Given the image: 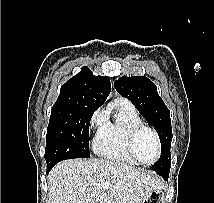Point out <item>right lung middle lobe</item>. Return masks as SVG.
Returning a JSON list of instances; mask_svg holds the SVG:
<instances>
[{"instance_id":"right-lung-middle-lobe-1","label":"right lung middle lobe","mask_w":214,"mask_h":203,"mask_svg":"<svg viewBox=\"0 0 214 203\" xmlns=\"http://www.w3.org/2000/svg\"><path fill=\"white\" fill-rule=\"evenodd\" d=\"M98 108L81 104H54L47 128L45 160L89 158V124Z\"/></svg>"}]
</instances>
